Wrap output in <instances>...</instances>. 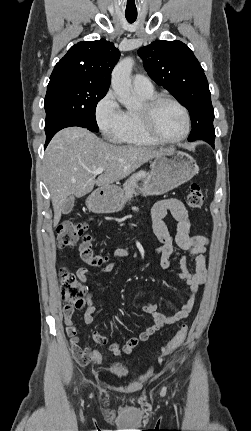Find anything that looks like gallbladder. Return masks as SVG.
I'll list each match as a JSON object with an SVG mask.
<instances>
[{
    "mask_svg": "<svg viewBox=\"0 0 251 431\" xmlns=\"http://www.w3.org/2000/svg\"><path fill=\"white\" fill-rule=\"evenodd\" d=\"M74 202H75V198L73 196L67 198V200L65 201L62 207V213L65 215L70 213L74 207Z\"/></svg>",
    "mask_w": 251,
    "mask_h": 431,
    "instance_id": "bac80fb5",
    "label": "gallbladder"
}]
</instances>
